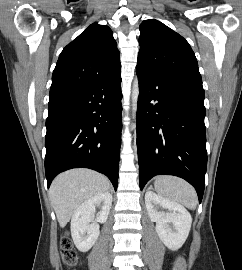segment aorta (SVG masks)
Returning <instances> with one entry per match:
<instances>
[{"label": "aorta", "mask_w": 242, "mask_h": 270, "mask_svg": "<svg viewBox=\"0 0 242 270\" xmlns=\"http://www.w3.org/2000/svg\"><path fill=\"white\" fill-rule=\"evenodd\" d=\"M138 97H139V83H138V79L136 78L133 82V87H132V117L133 119L136 117Z\"/></svg>", "instance_id": "762f6f07"}]
</instances>
